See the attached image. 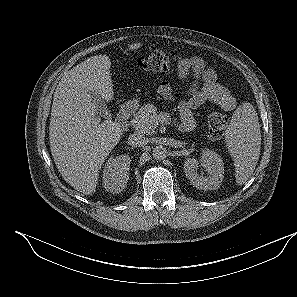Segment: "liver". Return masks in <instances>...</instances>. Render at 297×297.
Here are the masks:
<instances>
[{"mask_svg": "<svg viewBox=\"0 0 297 297\" xmlns=\"http://www.w3.org/2000/svg\"><path fill=\"white\" fill-rule=\"evenodd\" d=\"M128 47L135 51L142 44ZM110 67L109 56H92L69 70L54 93L51 154L64 180L85 195L95 192L99 170L123 134L112 120L101 122L89 93L96 92L105 101L113 99Z\"/></svg>", "mask_w": 297, "mask_h": 297, "instance_id": "6515ba94", "label": "liver"}]
</instances>
